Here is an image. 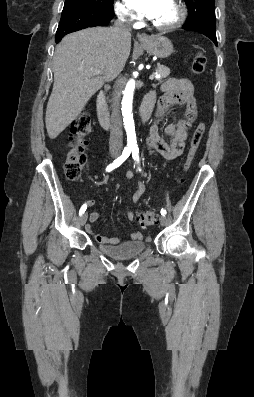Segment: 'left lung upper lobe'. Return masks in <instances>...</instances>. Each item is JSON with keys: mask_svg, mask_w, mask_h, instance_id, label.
Wrapping results in <instances>:
<instances>
[{"mask_svg": "<svg viewBox=\"0 0 254 397\" xmlns=\"http://www.w3.org/2000/svg\"><path fill=\"white\" fill-rule=\"evenodd\" d=\"M191 13L197 12L198 15H215L214 0H184Z\"/></svg>", "mask_w": 254, "mask_h": 397, "instance_id": "1", "label": "left lung upper lobe"}]
</instances>
